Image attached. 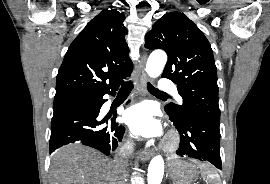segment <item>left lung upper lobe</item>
Segmentation results:
<instances>
[{
	"instance_id": "obj_1",
	"label": "left lung upper lobe",
	"mask_w": 270,
	"mask_h": 184,
	"mask_svg": "<svg viewBox=\"0 0 270 184\" xmlns=\"http://www.w3.org/2000/svg\"><path fill=\"white\" fill-rule=\"evenodd\" d=\"M145 47L163 49L168 61L162 77L177 84L182 105L165 110L178 122L190 115L220 122L217 72L210 43L187 16L170 12L157 20L146 35Z\"/></svg>"
}]
</instances>
